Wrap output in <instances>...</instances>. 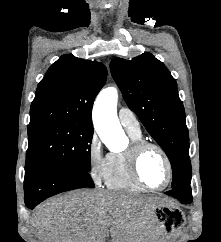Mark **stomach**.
<instances>
[{"label":"stomach","mask_w":221,"mask_h":242,"mask_svg":"<svg viewBox=\"0 0 221 242\" xmlns=\"http://www.w3.org/2000/svg\"><path fill=\"white\" fill-rule=\"evenodd\" d=\"M173 205L169 204V203H164L161 205H158L155 209H154V214L155 217L157 219L158 224H169L168 223V212L173 210ZM165 221H162V220Z\"/></svg>","instance_id":"stomach-1"}]
</instances>
